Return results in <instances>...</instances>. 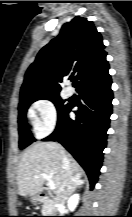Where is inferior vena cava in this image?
<instances>
[{"mask_svg":"<svg viewBox=\"0 0 132 217\" xmlns=\"http://www.w3.org/2000/svg\"><path fill=\"white\" fill-rule=\"evenodd\" d=\"M62 165H63V181L57 192L56 201L64 203L66 198L72 193V186L75 177L71 174L69 169V159L65 154V151L61 150Z\"/></svg>","mask_w":132,"mask_h":217,"instance_id":"obj_1","label":"inferior vena cava"}]
</instances>
